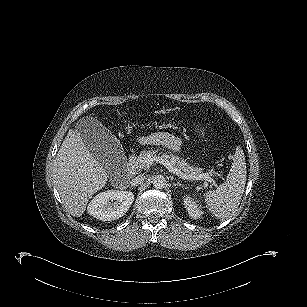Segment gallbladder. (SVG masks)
I'll use <instances>...</instances> for the list:
<instances>
[{
  "label": "gallbladder",
  "mask_w": 307,
  "mask_h": 307,
  "mask_svg": "<svg viewBox=\"0 0 307 307\" xmlns=\"http://www.w3.org/2000/svg\"><path fill=\"white\" fill-rule=\"evenodd\" d=\"M83 142L90 153L101 163L113 164L114 160L122 155V146L119 141L100 123L87 120L80 131Z\"/></svg>",
  "instance_id": "bac80fb5"
}]
</instances>
